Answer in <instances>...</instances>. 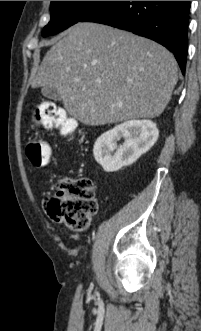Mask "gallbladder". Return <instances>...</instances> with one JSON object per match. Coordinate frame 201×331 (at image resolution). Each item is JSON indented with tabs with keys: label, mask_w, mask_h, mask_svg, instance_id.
Returning <instances> with one entry per match:
<instances>
[{
	"label": "gallbladder",
	"mask_w": 201,
	"mask_h": 331,
	"mask_svg": "<svg viewBox=\"0 0 201 331\" xmlns=\"http://www.w3.org/2000/svg\"><path fill=\"white\" fill-rule=\"evenodd\" d=\"M42 94L45 98L51 99L54 101H60L61 100V95L58 89L54 87H44L42 88Z\"/></svg>",
	"instance_id": "obj_1"
}]
</instances>
